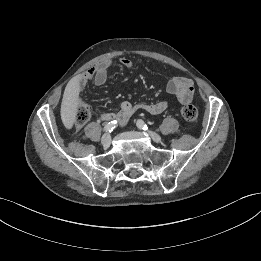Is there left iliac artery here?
<instances>
[{
	"instance_id": "obj_1",
	"label": "left iliac artery",
	"mask_w": 261,
	"mask_h": 261,
	"mask_svg": "<svg viewBox=\"0 0 261 261\" xmlns=\"http://www.w3.org/2000/svg\"><path fill=\"white\" fill-rule=\"evenodd\" d=\"M136 124H137L138 128L143 129V130H148V126L145 124V122L143 120L138 119Z\"/></svg>"
}]
</instances>
